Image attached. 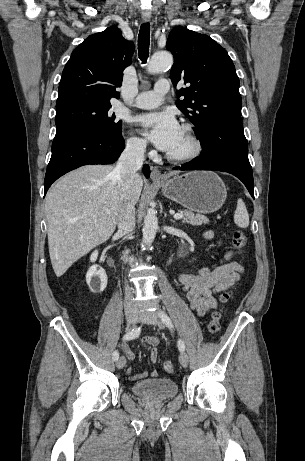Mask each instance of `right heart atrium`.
<instances>
[{"mask_svg":"<svg viewBox=\"0 0 305 461\" xmlns=\"http://www.w3.org/2000/svg\"><path fill=\"white\" fill-rule=\"evenodd\" d=\"M127 150L136 156H141L146 151V142L144 139L131 135L126 141Z\"/></svg>","mask_w":305,"mask_h":461,"instance_id":"right-heart-atrium-1","label":"right heart atrium"}]
</instances>
